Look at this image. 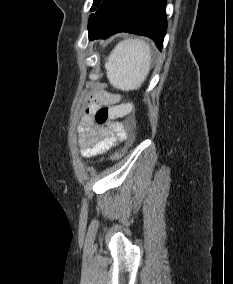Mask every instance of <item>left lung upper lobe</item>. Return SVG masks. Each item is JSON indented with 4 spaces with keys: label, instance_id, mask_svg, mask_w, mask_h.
I'll list each match as a JSON object with an SVG mask.
<instances>
[{
    "label": "left lung upper lobe",
    "instance_id": "5c2ea615",
    "mask_svg": "<svg viewBox=\"0 0 233 284\" xmlns=\"http://www.w3.org/2000/svg\"><path fill=\"white\" fill-rule=\"evenodd\" d=\"M102 1L103 0H94L93 5L91 7V11H96ZM93 19H94V14H91L90 17H89V22H88V30L90 29V27L92 25Z\"/></svg>",
    "mask_w": 233,
    "mask_h": 284
}]
</instances>
